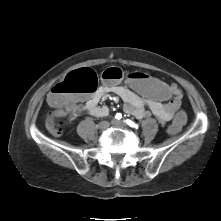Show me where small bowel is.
Masks as SVG:
<instances>
[{
  "label": "small bowel",
  "mask_w": 221,
  "mask_h": 221,
  "mask_svg": "<svg viewBox=\"0 0 221 221\" xmlns=\"http://www.w3.org/2000/svg\"><path fill=\"white\" fill-rule=\"evenodd\" d=\"M163 82V81H162ZM176 90V97L169 104H162L153 101L145 95H139L131 89H125L122 85L104 84L90 95H81L78 98L83 101V105H78V98L74 105L68 110L71 118L76 117L79 113L85 112L96 117L106 116L109 112L107 106L99 105L100 101L109 94L119 96L125 103L124 111L138 119L153 115L161 123L165 124L171 121L175 109L180 107L182 91L176 84H171Z\"/></svg>",
  "instance_id": "obj_1"
}]
</instances>
